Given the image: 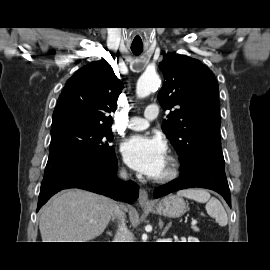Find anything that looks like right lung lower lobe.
I'll list each match as a JSON object with an SVG mask.
<instances>
[{"mask_svg": "<svg viewBox=\"0 0 270 270\" xmlns=\"http://www.w3.org/2000/svg\"><path fill=\"white\" fill-rule=\"evenodd\" d=\"M117 159L104 162L90 152L60 155L48 160L40 188L37 211L60 190L80 188L132 204L138 186L116 180Z\"/></svg>", "mask_w": 270, "mask_h": 270, "instance_id": "obj_1", "label": "right lung lower lobe"}]
</instances>
